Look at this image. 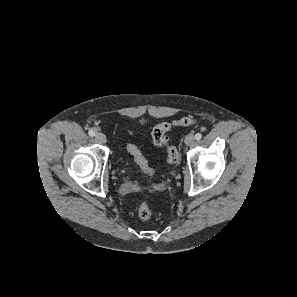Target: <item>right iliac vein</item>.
<instances>
[{"label":"right iliac vein","instance_id":"1","mask_svg":"<svg viewBox=\"0 0 297 297\" xmlns=\"http://www.w3.org/2000/svg\"><path fill=\"white\" fill-rule=\"evenodd\" d=\"M95 139H96V141L98 143H101V144H104L107 141L106 136L103 133H100V132L96 133Z\"/></svg>","mask_w":297,"mask_h":297}]
</instances>
